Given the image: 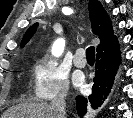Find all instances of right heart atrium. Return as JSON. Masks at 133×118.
Masks as SVG:
<instances>
[{
    "label": "right heart atrium",
    "instance_id": "right-heart-atrium-1",
    "mask_svg": "<svg viewBox=\"0 0 133 118\" xmlns=\"http://www.w3.org/2000/svg\"><path fill=\"white\" fill-rule=\"evenodd\" d=\"M69 92L68 74L51 58H41L33 68V94L39 101L65 97Z\"/></svg>",
    "mask_w": 133,
    "mask_h": 118
}]
</instances>
